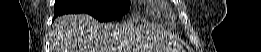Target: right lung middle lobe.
Here are the masks:
<instances>
[{
    "label": "right lung middle lobe",
    "instance_id": "dd1d6c3e",
    "mask_svg": "<svg viewBox=\"0 0 261 52\" xmlns=\"http://www.w3.org/2000/svg\"><path fill=\"white\" fill-rule=\"evenodd\" d=\"M129 0H56L55 15L87 13L99 21L115 20L129 10Z\"/></svg>",
    "mask_w": 261,
    "mask_h": 52
}]
</instances>
